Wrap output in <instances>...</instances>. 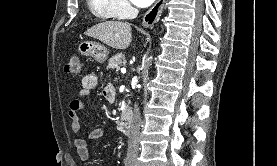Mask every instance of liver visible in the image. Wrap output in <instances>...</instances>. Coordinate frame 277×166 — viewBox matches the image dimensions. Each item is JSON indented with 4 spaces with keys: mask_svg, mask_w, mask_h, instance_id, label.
Returning <instances> with one entry per match:
<instances>
[{
    "mask_svg": "<svg viewBox=\"0 0 277 166\" xmlns=\"http://www.w3.org/2000/svg\"><path fill=\"white\" fill-rule=\"evenodd\" d=\"M85 35L98 39L114 49H126L131 42V26L127 22L105 21L89 28Z\"/></svg>",
    "mask_w": 277,
    "mask_h": 166,
    "instance_id": "1",
    "label": "liver"
}]
</instances>
